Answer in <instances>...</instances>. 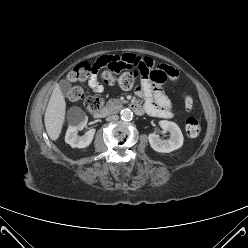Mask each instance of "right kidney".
Masks as SVG:
<instances>
[{
	"mask_svg": "<svg viewBox=\"0 0 248 248\" xmlns=\"http://www.w3.org/2000/svg\"><path fill=\"white\" fill-rule=\"evenodd\" d=\"M86 114L78 107H73L69 111L68 120L69 128L66 132L65 142L74 148H85L89 146L93 140L95 129H90L82 137L78 136V131L83 129L87 123Z\"/></svg>",
	"mask_w": 248,
	"mask_h": 248,
	"instance_id": "ca27d5eb",
	"label": "right kidney"
}]
</instances>
